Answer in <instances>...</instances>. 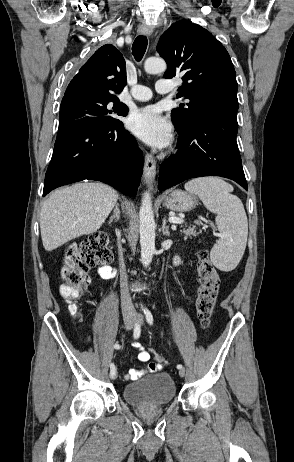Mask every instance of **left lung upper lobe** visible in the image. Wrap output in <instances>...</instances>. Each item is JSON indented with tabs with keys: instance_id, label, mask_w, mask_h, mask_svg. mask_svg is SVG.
I'll return each mask as SVG.
<instances>
[{
	"instance_id": "1",
	"label": "left lung upper lobe",
	"mask_w": 294,
	"mask_h": 462,
	"mask_svg": "<svg viewBox=\"0 0 294 462\" xmlns=\"http://www.w3.org/2000/svg\"><path fill=\"white\" fill-rule=\"evenodd\" d=\"M157 51L167 63L165 78L182 75L178 98L190 102L171 112L178 131H185L210 108L238 106L236 72L224 46L206 29L189 20L170 26Z\"/></svg>"
}]
</instances>
